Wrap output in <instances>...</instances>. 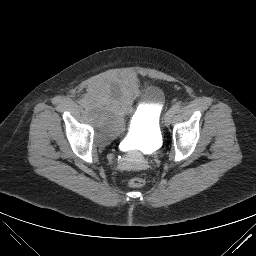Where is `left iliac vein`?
<instances>
[{"label": "left iliac vein", "instance_id": "left-iliac-vein-1", "mask_svg": "<svg viewBox=\"0 0 256 256\" xmlns=\"http://www.w3.org/2000/svg\"><path fill=\"white\" fill-rule=\"evenodd\" d=\"M174 114L175 113L171 109L167 111V113L165 114V117H164V123H165L166 126L170 125Z\"/></svg>", "mask_w": 256, "mask_h": 256}]
</instances>
